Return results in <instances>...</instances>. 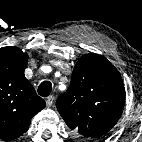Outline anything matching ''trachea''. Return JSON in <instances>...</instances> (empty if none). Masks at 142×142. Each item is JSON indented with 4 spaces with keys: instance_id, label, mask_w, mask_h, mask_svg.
<instances>
[{
    "instance_id": "3493384b",
    "label": "trachea",
    "mask_w": 142,
    "mask_h": 142,
    "mask_svg": "<svg viewBox=\"0 0 142 142\" xmlns=\"http://www.w3.org/2000/svg\"><path fill=\"white\" fill-rule=\"evenodd\" d=\"M52 90V84L49 81L42 82L38 87V94L43 97L49 96Z\"/></svg>"
}]
</instances>
